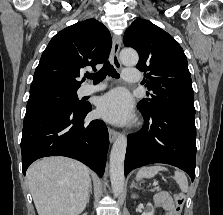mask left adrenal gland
I'll return each mask as SVG.
<instances>
[{"label": "left adrenal gland", "instance_id": "left-adrenal-gland-1", "mask_svg": "<svg viewBox=\"0 0 223 215\" xmlns=\"http://www.w3.org/2000/svg\"><path fill=\"white\" fill-rule=\"evenodd\" d=\"M130 187H137V185H136V183H135L134 179H133V181H132V183H131ZM137 189H138V187H137Z\"/></svg>", "mask_w": 223, "mask_h": 215}]
</instances>
